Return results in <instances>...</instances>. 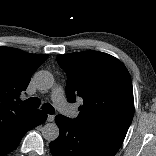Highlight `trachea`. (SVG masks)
Returning a JSON list of instances; mask_svg holds the SVG:
<instances>
[{
  "instance_id": "trachea-1",
  "label": "trachea",
  "mask_w": 156,
  "mask_h": 156,
  "mask_svg": "<svg viewBox=\"0 0 156 156\" xmlns=\"http://www.w3.org/2000/svg\"><path fill=\"white\" fill-rule=\"evenodd\" d=\"M19 104H23L30 108H38L40 105V100L37 97H32V98L25 100L24 102L19 100ZM42 109L48 114H54L55 112L54 107L49 103L43 104Z\"/></svg>"
}]
</instances>
